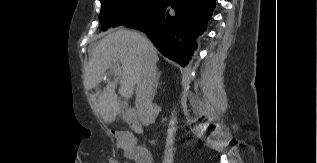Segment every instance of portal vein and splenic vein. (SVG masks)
<instances>
[{
    "instance_id": "obj_1",
    "label": "portal vein and splenic vein",
    "mask_w": 317,
    "mask_h": 163,
    "mask_svg": "<svg viewBox=\"0 0 317 163\" xmlns=\"http://www.w3.org/2000/svg\"><path fill=\"white\" fill-rule=\"evenodd\" d=\"M113 74L116 77L121 75V67H120V64L118 62H114V64H113Z\"/></svg>"
}]
</instances>
